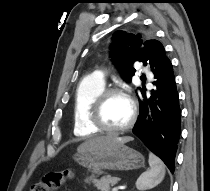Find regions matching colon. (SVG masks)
<instances>
[{
    "instance_id": "colon-1",
    "label": "colon",
    "mask_w": 210,
    "mask_h": 191,
    "mask_svg": "<svg viewBox=\"0 0 210 191\" xmlns=\"http://www.w3.org/2000/svg\"><path fill=\"white\" fill-rule=\"evenodd\" d=\"M73 171L66 169L46 173L35 183L30 191H58L67 181L73 178Z\"/></svg>"
}]
</instances>
